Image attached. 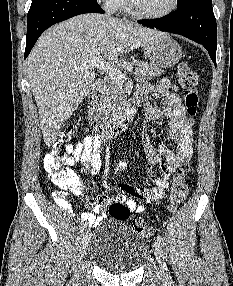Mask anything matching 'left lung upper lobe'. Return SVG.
<instances>
[{"mask_svg":"<svg viewBox=\"0 0 233 286\" xmlns=\"http://www.w3.org/2000/svg\"><path fill=\"white\" fill-rule=\"evenodd\" d=\"M186 0H177V6L181 5Z\"/></svg>","mask_w":233,"mask_h":286,"instance_id":"obj_1","label":"left lung upper lobe"}]
</instances>
